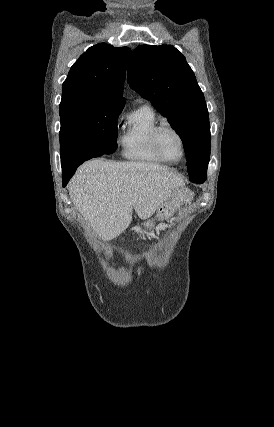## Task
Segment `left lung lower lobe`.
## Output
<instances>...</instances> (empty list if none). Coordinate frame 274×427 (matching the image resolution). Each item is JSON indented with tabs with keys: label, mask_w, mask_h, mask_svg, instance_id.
I'll list each match as a JSON object with an SVG mask.
<instances>
[{
	"label": "left lung lower lobe",
	"mask_w": 274,
	"mask_h": 427,
	"mask_svg": "<svg viewBox=\"0 0 274 427\" xmlns=\"http://www.w3.org/2000/svg\"><path fill=\"white\" fill-rule=\"evenodd\" d=\"M189 179L193 183L201 184L206 180V175H189Z\"/></svg>",
	"instance_id": "1"
}]
</instances>
